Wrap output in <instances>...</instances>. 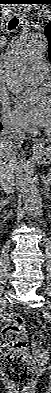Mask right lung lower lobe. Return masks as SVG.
<instances>
[{
  "mask_svg": "<svg viewBox=\"0 0 51 393\" xmlns=\"http://www.w3.org/2000/svg\"><path fill=\"white\" fill-rule=\"evenodd\" d=\"M2 128H3V126H2L1 123H0V130H2Z\"/></svg>",
  "mask_w": 51,
  "mask_h": 393,
  "instance_id": "right-lung-lower-lobe-1",
  "label": "right lung lower lobe"
}]
</instances>
